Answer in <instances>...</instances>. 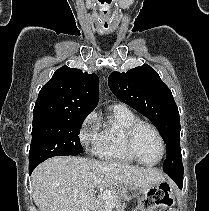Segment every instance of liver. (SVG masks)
<instances>
[{"label":"liver","mask_w":209,"mask_h":211,"mask_svg":"<svg viewBox=\"0 0 209 211\" xmlns=\"http://www.w3.org/2000/svg\"><path fill=\"white\" fill-rule=\"evenodd\" d=\"M31 177L39 211H97L96 179H101V188L135 185L145 190L164 180L153 168L73 156L50 158L38 165Z\"/></svg>","instance_id":"obj_1"}]
</instances>
